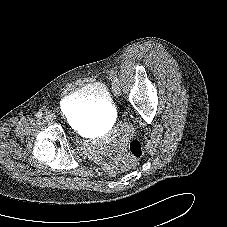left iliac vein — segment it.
I'll return each mask as SVG.
<instances>
[{
    "mask_svg": "<svg viewBox=\"0 0 227 227\" xmlns=\"http://www.w3.org/2000/svg\"><path fill=\"white\" fill-rule=\"evenodd\" d=\"M113 88H114V91H115L116 94H120V87H119L118 84H114Z\"/></svg>",
    "mask_w": 227,
    "mask_h": 227,
    "instance_id": "1",
    "label": "left iliac vein"
}]
</instances>
